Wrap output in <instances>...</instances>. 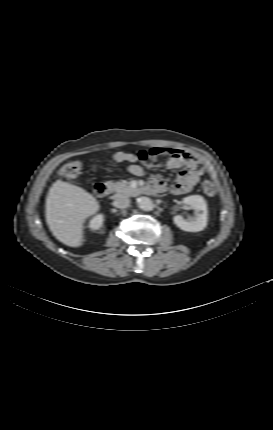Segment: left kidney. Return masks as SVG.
I'll return each mask as SVG.
<instances>
[{"label": "left kidney", "instance_id": "obj_1", "mask_svg": "<svg viewBox=\"0 0 273 430\" xmlns=\"http://www.w3.org/2000/svg\"><path fill=\"white\" fill-rule=\"evenodd\" d=\"M182 202L195 211L193 217L184 219L182 215L173 218L174 223L180 229L188 232H199L207 226L208 208L206 200L200 195H191L183 198Z\"/></svg>", "mask_w": 273, "mask_h": 430}]
</instances>
